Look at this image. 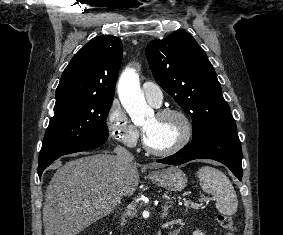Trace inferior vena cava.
Here are the masks:
<instances>
[{"instance_id":"inferior-vena-cava-1","label":"inferior vena cava","mask_w":283,"mask_h":235,"mask_svg":"<svg viewBox=\"0 0 283 235\" xmlns=\"http://www.w3.org/2000/svg\"><path fill=\"white\" fill-rule=\"evenodd\" d=\"M113 152L116 154L115 158L120 167H123L127 165L130 161L134 160V156L132 155V153H130L126 148L122 146H117ZM122 198L123 194L118 193V196L115 199L116 205H120Z\"/></svg>"}]
</instances>
